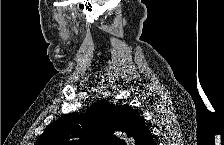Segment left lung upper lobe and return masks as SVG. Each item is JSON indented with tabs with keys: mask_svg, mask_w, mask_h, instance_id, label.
I'll return each mask as SVG.
<instances>
[{
	"mask_svg": "<svg viewBox=\"0 0 224 145\" xmlns=\"http://www.w3.org/2000/svg\"><path fill=\"white\" fill-rule=\"evenodd\" d=\"M137 114L140 115L128 105L100 100L86 113H70L51 123L37 145H124L112 133L121 130L130 137Z\"/></svg>",
	"mask_w": 224,
	"mask_h": 145,
	"instance_id": "obj_1",
	"label": "left lung upper lobe"
}]
</instances>
